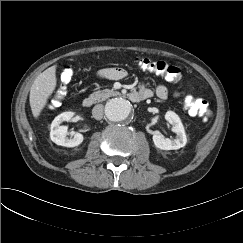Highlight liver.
<instances>
[{"instance_id": "6515ba94", "label": "liver", "mask_w": 243, "mask_h": 243, "mask_svg": "<svg viewBox=\"0 0 243 243\" xmlns=\"http://www.w3.org/2000/svg\"><path fill=\"white\" fill-rule=\"evenodd\" d=\"M56 65L49 67L40 73L34 80L30 89V107L32 114L38 118L45 107L48 98L56 88Z\"/></svg>"}]
</instances>
